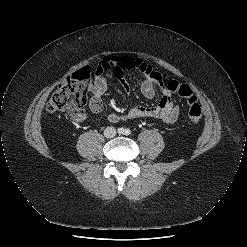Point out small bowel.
Listing matches in <instances>:
<instances>
[{"label": "small bowel", "mask_w": 247, "mask_h": 247, "mask_svg": "<svg viewBox=\"0 0 247 247\" xmlns=\"http://www.w3.org/2000/svg\"><path fill=\"white\" fill-rule=\"evenodd\" d=\"M112 70L119 80L125 92H129V86L124 80V72L128 70H137L144 75V81L141 84V92L147 99H153L156 94V88L161 91V98L156 105L143 106L138 105L125 113L111 112L108 120L112 123L126 121L138 118H157L165 123L173 124L177 121L180 108L175 105L171 98V92L167 88V76L164 73L156 71L151 65L140 58L130 56H105L99 63L92 83L89 84V91L92 94L89 107L94 113H99L103 109L102 95L108 88L104 72ZM74 121L81 122L86 119V114L82 112L70 114Z\"/></svg>", "instance_id": "c3829d8e"}]
</instances>
